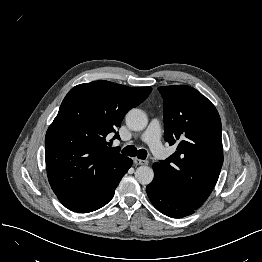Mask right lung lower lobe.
<instances>
[{
	"instance_id": "1",
	"label": "right lung lower lobe",
	"mask_w": 262,
	"mask_h": 262,
	"mask_svg": "<svg viewBox=\"0 0 262 262\" xmlns=\"http://www.w3.org/2000/svg\"><path fill=\"white\" fill-rule=\"evenodd\" d=\"M132 165V160L128 158L125 164L122 166L119 178L113 188L105 195L98 197H85V198H70V197H58L59 201L68 209L78 213H88L95 211L104 205H106L113 197L115 188L119 184L121 178L126 174L128 169Z\"/></svg>"
}]
</instances>
